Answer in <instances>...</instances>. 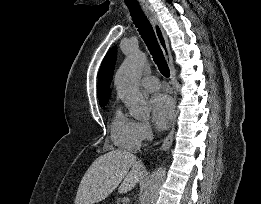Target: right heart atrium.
<instances>
[{
	"mask_svg": "<svg viewBox=\"0 0 261 204\" xmlns=\"http://www.w3.org/2000/svg\"><path fill=\"white\" fill-rule=\"evenodd\" d=\"M137 133L140 142L148 141L153 135L152 127L147 121H139L137 124Z\"/></svg>",
	"mask_w": 261,
	"mask_h": 204,
	"instance_id": "1",
	"label": "right heart atrium"
}]
</instances>
